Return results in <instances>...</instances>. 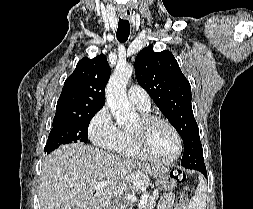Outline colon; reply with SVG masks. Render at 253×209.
Masks as SVG:
<instances>
[{"label": "colon", "mask_w": 253, "mask_h": 209, "mask_svg": "<svg viewBox=\"0 0 253 209\" xmlns=\"http://www.w3.org/2000/svg\"><path fill=\"white\" fill-rule=\"evenodd\" d=\"M185 180V175L179 172H173L170 177H168L167 186H175ZM188 196L185 191H183L177 201L176 209H187Z\"/></svg>", "instance_id": "colon-1"}]
</instances>
